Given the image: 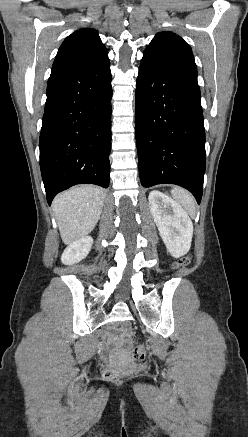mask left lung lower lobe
Masks as SVG:
<instances>
[{"label":"left lung lower lobe","mask_w":248,"mask_h":437,"mask_svg":"<svg viewBox=\"0 0 248 437\" xmlns=\"http://www.w3.org/2000/svg\"><path fill=\"white\" fill-rule=\"evenodd\" d=\"M135 112L142 186L176 184L200 204L206 156L197 81L140 66Z\"/></svg>","instance_id":"obj_1"}]
</instances>
